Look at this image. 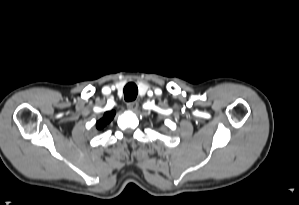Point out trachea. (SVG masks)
Wrapping results in <instances>:
<instances>
[{
    "label": "trachea",
    "mask_w": 299,
    "mask_h": 205,
    "mask_svg": "<svg viewBox=\"0 0 299 205\" xmlns=\"http://www.w3.org/2000/svg\"><path fill=\"white\" fill-rule=\"evenodd\" d=\"M138 94V87L135 83L130 82L124 87V98L130 102L136 99Z\"/></svg>",
    "instance_id": "3493384b"
}]
</instances>
